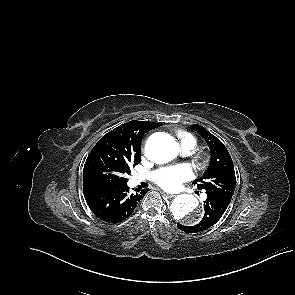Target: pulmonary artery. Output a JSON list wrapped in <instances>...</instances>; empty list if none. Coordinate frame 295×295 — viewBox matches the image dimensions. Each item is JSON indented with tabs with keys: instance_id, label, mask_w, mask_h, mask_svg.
<instances>
[{
	"instance_id": "1",
	"label": "pulmonary artery",
	"mask_w": 295,
	"mask_h": 295,
	"mask_svg": "<svg viewBox=\"0 0 295 295\" xmlns=\"http://www.w3.org/2000/svg\"><path fill=\"white\" fill-rule=\"evenodd\" d=\"M193 149V147L191 146V145H185V146H181V153L183 154V155H188L190 152H191V150ZM144 177L143 176H140V175H136L135 177H134V181L136 182V183H140V182H142V181H144ZM205 196V195H204Z\"/></svg>"
}]
</instances>
